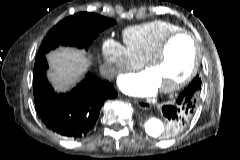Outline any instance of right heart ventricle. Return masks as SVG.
Masks as SVG:
<instances>
[{"label":"right heart ventricle","instance_id":"right-heart-ventricle-1","mask_svg":"<svg viewBox=\"0 0 240 160\" xmlns=\"http://www.w3.org/2000/svg\"><path fill=\"white\" fill-rule=\"evenodd\" d=\"M181 28L168 21L156 20L126 28L122 33L124 47L131 58L142 63L168 34Z\"/></svg>","mask_w":240,"mask_h":160}]
</instances>
